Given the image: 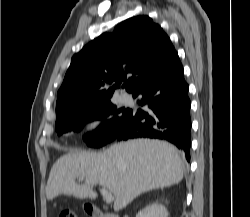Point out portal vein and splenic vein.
Returning <instances> with one entry per match:
<instances>
[{"label":"portal vein and splenic vein","mask_w":250,"mask_h":217,"mask_svg":"<svg viewBox=\"0 0 250 217\" xmlns=\"http://www.w3.org/2000/svg\"><path fill=\"white\" fill-rule=\"evenodd\" d=\"M83 179V178H82ZM100 193L107 204H110L114 200V196L107 188L103 187L100 189Z\"/></svg>","instance_id":"1"}]
</instances>
